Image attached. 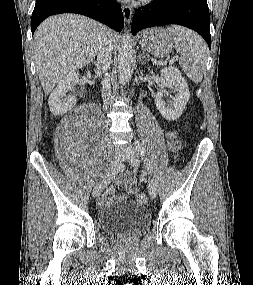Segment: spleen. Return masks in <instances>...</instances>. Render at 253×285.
I'll list each match as a JSON object with an SVG mask.
<instances>
[{"label":"spleen","mask_w":253,"mask_h":285,"mask_svg":"<svg viewBox=\"0 0 253 285\" xmlns=\"http://www.w3.org/2000/svg\"><path fill=\"white\" fill-rule=\"evenodd\" d=\"M167 31L173 36L175 49L181 55L179 64L182 70L193 82H201L207 61V45L190 29L172 26Z\"/></svg>","instance_id":"spleen-1"}]
</instances>
